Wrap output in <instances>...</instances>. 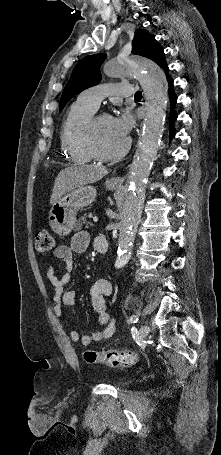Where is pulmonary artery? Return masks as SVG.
<instances>
[{"label": "pulmonary artery", "mask_w": 221, "mask_h": 455, "mask_svg": "<svg viewBox=\"0 0 221 455\" xmlns=\"http://www.w3.org/2000/svg\"><path fill=\"white\" fill-rule=\"evenodd\" d=\"M132 94H134V88L129 83H105L89 87L79 96L82 101L96 110L108 95L130 96Z\"/></svg>", "instance_id": "pulmonary-artery-1"}]
</instances>
